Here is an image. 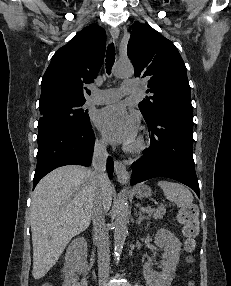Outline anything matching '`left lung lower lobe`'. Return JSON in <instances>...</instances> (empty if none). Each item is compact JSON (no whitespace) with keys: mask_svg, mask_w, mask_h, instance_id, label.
<instances>
[{"mask_svg":"<svg viewBox=\"0 0 231 286\" xmlns=\"http://www.w3.org/2000/svg\"><path fill=\"white\" fill-rule=\"evenodd\" d=\"M145 121L151 143L144 155L132 164L131 184L159 176L168 177L189 186L199 196L192 152V111L159 108Z\"/></svg>","mask_w":231,"mask_h":286,"instance_id":"obj_1","label":"left lung lower lobe"}]
</instances>
